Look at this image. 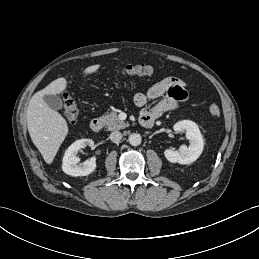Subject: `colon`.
Wrapping results in <instances>:
<instances>
[{
    "mask_svg": "<svg viewBox=\"0 0 259 259\" xmlns=\"http://www.w3.org/2000/svg\"><path fill=\"white\" fill-rule=\"evenodd\" d=\"M155 72L154 68L147 64L127 65L118 71V75L122 77H142L151 76ZM62 110L66 121L69 124H75L79 117V108L75 100L69 95L64 94L62 97ZM210 113L218 117L221 114L219 106L212 104L209 107Z\"/></svg>",
    "mask_w": 259,
    "mask_h": 259,
    "instance_id": "5ec220e1",
    "label": "colon"
}]
</instances>
